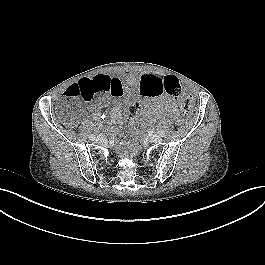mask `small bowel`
I'll return each instance as SVG.
<instances>
[{"mask_svg":"<svg viewBox=\"0 0 265 265\" xmlns=\"http://www.w3.org/2000/svg\"><path fill=\"white\" fill-rule=\"evenodd\" d=\"M164 75L159 72H145L139 76L130 75L128 77L98 74L88 80L105 79L109 88V94L114 97L126 98L128 102L133 103L135 98L143 97L140 103V110L148 114L154 110L175 111V105L171 102L162 91V81ZM66 92V91H65ZM122 107L118 102L110 111V120L104 123H98L97 127L112 128L113 125L121 118ZM94 119L99 121L101 116L94 114Z\"/></svg>","mask_w":265,"mask_h":265,"instance_id":"small-bowel-1","label":"small bowel"}]
</instances>
